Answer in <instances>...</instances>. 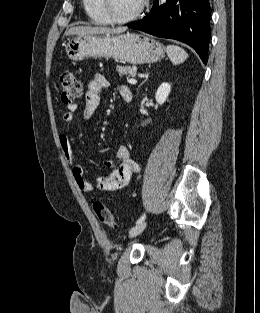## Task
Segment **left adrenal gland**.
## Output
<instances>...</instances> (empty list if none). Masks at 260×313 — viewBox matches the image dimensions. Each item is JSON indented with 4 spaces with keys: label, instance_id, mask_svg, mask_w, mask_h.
Returning a JSON list of instances; mask_svg holds the SVG:
<instances>
[{
    "label": "left adrenal gland",
    "instance_id": "left-adrenal-gland-1",
    "mask_svg": "<svg viewBox=\"0 0 260 313\" xmlns=\"http://www.w3.org/2000/svg\"><path fill=\"white\" fill-rule=\"evenodd\" d=\"M147 79H148V78H146V79L143 81V83H144L145 81H147ZM143 83H142V84H143ZM142 84H141V85H142Z\"/></svg>",
    "mask_w": 260,
    "mask_h": 313
}]
</instances>
